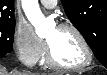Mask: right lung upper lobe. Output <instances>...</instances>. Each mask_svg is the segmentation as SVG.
<instances>
[{
    "label": "right lung upper lobe",
    "instance_id": "cb5924a9",
    "mask_svg": "<svg viewBox=\"0 0 107 75\" xmlns=\"http://www.w3.org/2000/svg\"><path fill=\"white\" fill-rule=\"evenodd\" d=\"M14 18V0H0V20Z\"/></svg>",
    "mask_w": 107,
    "mask_h": 75
}]
</instances>
